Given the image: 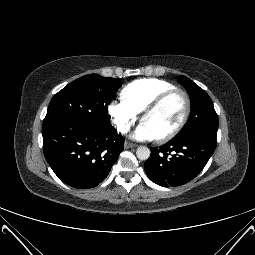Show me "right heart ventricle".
Instances as JSON below:
<instances>
[{"mask_svg": "<svg viewBox=\"0 0 255 255\" xmlns=\"http://www.w3.org/2000/svg\"><path fill=\"white\" fill-rule=\"evenodd\" d=\"M175 88V86L161 79H140L129 83L121 92L122 99L137 114L161 93Z\"/></svg>", "mask_w": 255, "mask_h": 255, "instance_id": "right-heart-ventricle-1", "label": "right heart ventricle"}]
</instances>
